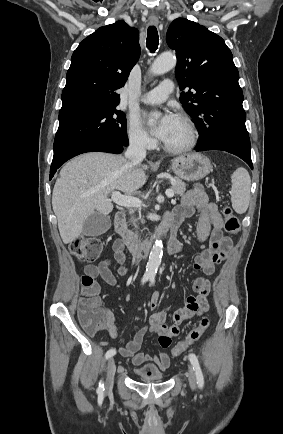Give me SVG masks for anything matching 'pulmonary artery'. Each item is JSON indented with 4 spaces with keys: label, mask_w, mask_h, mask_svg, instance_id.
I'll use <instances>...</instances> for the list:
<instances>
[{
    "label": "pulmonary artery",
    "mask_w": 283,
    "mask_h": 434,
    "mask_svg": "<svg viewBox=\"0 0 283 434\" xmlns=\"http://www.w3.org/2000/svg\"><path fill=\"white\" fill-rule=\"evenodd\" d=\"M173 87L174 84L171 80H164L157 87L144 94L141 101L146 104L162 103L172 93Z\"/></svg>",
    "instance_id": "1"
}]
</instances>
